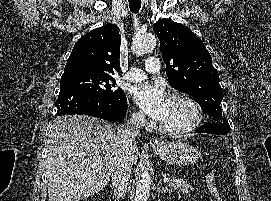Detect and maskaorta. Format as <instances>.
Returning <instances> with one entry per match:
<instances>
[{"label":"aorta","instance_id":"1","mask_svg":"<svg viewBox=\"0 0 271 201\" xmlns=\"http://www.w3.org/2000/svg\"><path fill=\"white\" fill-rule=\"evenodd\" d=\"M157 44V39L152 34L136 35L132 40V51L136 55L149 53ZM151 177L147 170H144L136 185L134 201H147L150 194Z\"/></svg>","mask_w":271,"mask_h":201}]
</instances>
